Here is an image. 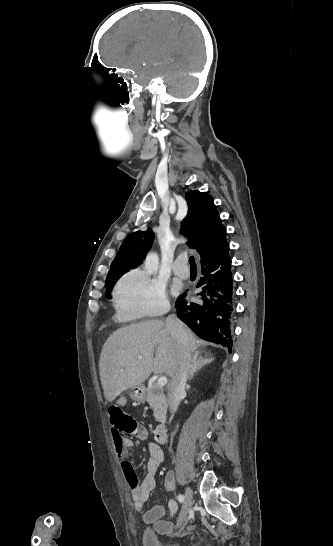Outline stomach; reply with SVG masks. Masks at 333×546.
<instances>
[{
	"label": "stomach",
	"mask_w": 333,
	"mask_h": 546,
	"mask_svg": "<svg viewBox=\"0 0 333 546\" xmlns=\"http://www.w3.org/2000/svg\"><path fill=\"white\" fill-rule=\"evenodd\" d=\"M130 398L137 403L145 402V388L143 385H137L128 391Z\"/></svg>",
	"instance_id": "obj_1"
}]
</instances>
